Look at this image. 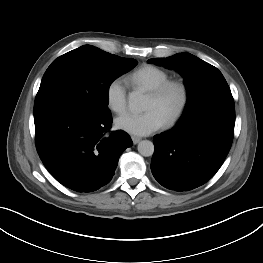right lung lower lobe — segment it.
<instances>
[{
	"mask_svg": "<svg viewBox=\"0 0 263 263\" xmlns=\"http://www.w3.org/2000/svg\"><path fill=\"white\" fill-rule=\"evenodd\" d=\"M40 159L62 185L92 192L108 184L119 157L133 145L122 131L107 135L110 115L97 116L74 108H56L34 115Z\"/></svg>",
	"mask_w": 263,
	"mask_h": 263,
	"instance_id": "right-lung-lower-lobe-1",
	"label": "right lung lower lobe"
}]
</instances>
